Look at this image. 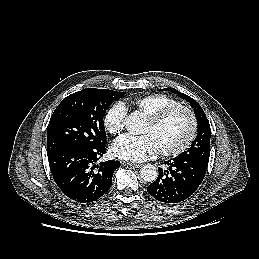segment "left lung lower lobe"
<instances>
[{
    "mask_svg": "<svg viewBox=\"0 0 259 259\" xmlns=\"http://www.w3.org/2000/svg\"><path fill=\"white\" fill-rule=\"evenodd\" d=\"M164 164L169 168H158L157 180L147 187L152 197L164 203H178L190 197L201 184L207 170V166L180 156Z\"/></svg>",
    "mask_w": 259,
    "mask_h": 259,
    "instance_id": "left-lung-lower-lobe-1",
    "label": "left lung lower lobe"
}]
</instances>
